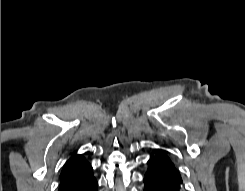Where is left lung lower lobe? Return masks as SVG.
<instances>
[{"label":"left lung lower lobe","instance_id":"1","mask_svg":"<svg viewBox=\"0 0 245 191\" xmlns=\"http://www.w3.org/2000/svg\"><path fill=\"white\" fill-rule=\"evenodd\" d=\"M143 191H183V180L174 161L158 149L147 162Z\"/></svg>","mask_w":245,"mask_h":191}]
</instances>
